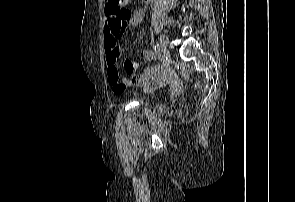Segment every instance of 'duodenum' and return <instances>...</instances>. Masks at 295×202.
Masks as SVG:
<instances>
[{
  "label": "duodenum",
  "mask_w": 295,
  "mask_h": 202,
  "mask_svg": "<svg viewBox=\"0 0 295 202\" xmlns=\"http://www.w3.org/2000/svg\"><path fill=\"white\" fill-rule=\"evenodd\" d=\"M144 2L148 3L150 0H143Z\"/></svg>",
  "instance_id": "1"
}]
</instances>
